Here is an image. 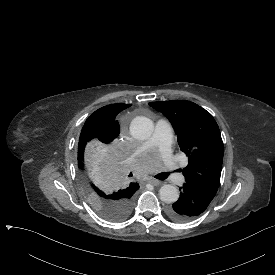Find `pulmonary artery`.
<instances>
[{
	"instance_id": "1",
	"label": "pulmonary artery",
	"mask_w": 275,
	"mask_h": 275,
	"mask_svg": "<svg viewBox=\"0 0 275 275\" xmlns=\"http://www.w3.org/2000/svg\"><path fill=\"white\" fill-rule=\"evenodd\" d=\"M155 127L156 132L151 136L149 142L141 145L137 151L133 152L128 158L129 162H132L135 157L140 155L142 152L150 151L152 146H158L160 142L162 151L165 154H172L175 151V132L172 128H170V122L165 117H158L155 120Z\"/></svg>"
}]
</instances>
